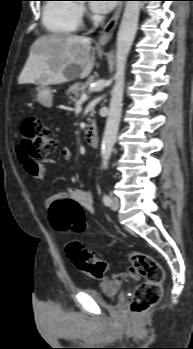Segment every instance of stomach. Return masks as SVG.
I'll use <instances>...</instances> for the list:
<instances>
[{"label": "stomach", "instance_id": "1", "mask_svg": "<svg viewBox=\"0 0 193 349\" xmlns=\"http://www.w3.org/2000/svg\"><path fill=\"white\" fill-rule=\"evenodd\" d=\"M37 100L45 107H51L53 104V94L50 87L39 85L36 87Z\"/></svg>", "mask_w": 193, "mask_h": 349}]
</instances>
